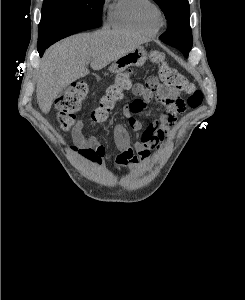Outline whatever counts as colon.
<instances>
[{
  "instance_id": "1",
  "label": "colon",
  "mask_w": 245,
  "mask_h": 300,
  "mask_svg": "<svg viewBox=\"0 0 245 300\" xmlns=\"http://www.w3.org/2000/svg\"><path fill=\"white\" fill-rule=\"evenodd\" d=\"M152 60L158 65L159 78L161 83L154 80L147 84L151 91H163L173 98H179L180 93L188 95L187 104L191 108H197L202 104L203 94L178 70L168 65L163 54L155 52ZM131 87L128 73H121L115 76L114 80L107 85L99 104L88 115L90 126L106 121L110 112L115 108L117 102L123 98L124 91ZM88 94V85L84 81L74 82L70 89L57 101V120L62 129H70L76 120V113L81 108L83 101ZM130 106L135 111L144 108V103L140 99L130 102ZM80 152L90 157L89 150Z\"/></svg>"
}]
</instances>
